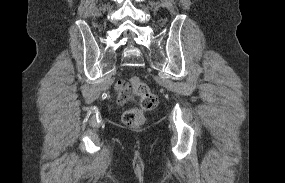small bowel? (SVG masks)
Listing matches in <instances>:
<instances>
[{"label": "small bowel", "mask_w": 285, "mask_h": 183, "mask_svg": "<svg viewBox=\"0 0 285 183\" xmlns=\"http://www.w3.org/2000/svg\"><path fill=\"white\" fill-rule=\"evenodd\" d=\"M114 89L117 94L118 104L124 105L130 100V88L126 81H117L114 86Z\"/></svg>", "instance_id": "obj_1"}]
</instances>
